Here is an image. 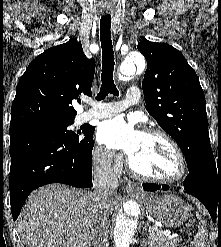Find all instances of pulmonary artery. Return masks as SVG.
I'll return each mask as SVG.
<instances>
[{"label":"pulmonary artery","mask_w":221,"mask_h":247,"mask_svg":"<svg viewBox=\"0 0 221 247\" xmlns=\"http://www.w3.org/2000/svg\"><path fill=\"white\" fill-rule=\"evenodd\" d=\"M140 100V90L138 87H131L126 93V97L123 101H114L107 103L96 104L93 108L86 110L82 114V120L90 119H103L111 117L123 110L128 106L137 104Z\"/></svg>","instance_id":"e3ab8cb5"}]
</instances>
